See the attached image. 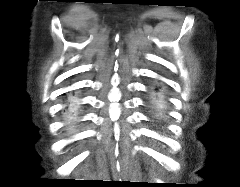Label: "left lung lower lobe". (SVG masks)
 I'll return each mask as SVG.
<instances>
[{"mask_svg": "<svg viewBox=\"0 0 240 187\" xmlns=\"http://www.w3.org/2000/svg\"><path fill=\"white\" fill-rule=\"evenodd\" d=\"M148 107L149 110L158 117L164 114L166 108V97L161 87L158 86L150 89Z\"/></svg>", "mask_w": 240, "mask_h": 187, "instance_id": "1", "label": "left lung lower lobe"}]
</instances>
